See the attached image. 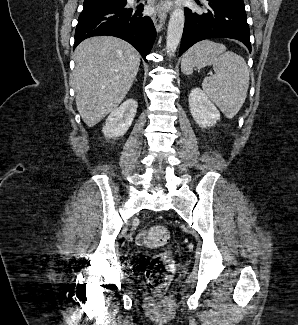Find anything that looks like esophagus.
Instances as JSON below:
<instances>
[{
    "mask_svg": "<svg viewBox=\"0 0 298 325\" xmlns=\"http://www.w3.org/2000/svg\"><path fill=\"white\" fill-rule=\"evenodd\" d=\"M152 20L154 22L156 30L160 31L166 21V12L163 9L157 10L156 12H154Z\"/></svg>",
    "mask_w": 298,
    "mask_h": 325,
    "instance_id": "34e87169",
    "label": "esophagus"
}]
</instances>
